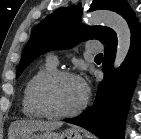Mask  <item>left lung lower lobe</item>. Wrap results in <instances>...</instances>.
Returning a JSON list of instances; mask_svg holds the SVG:
<instances>
[{
	"instance_id": "1",
	"label": "left lung lower lobe",
	"mask_w": 141,
	"mask_h": 139,
	"mask_svg": "<svg viewBox=\"0 0 141 139\" xmlns=\"http://www.w3.org/2000/svg\"><path fill=\"white\" fill-rule=\"evenodd\" d=\"M130 31V49L117 71H114L112 66L117 47L116 36L105 43L102 65L104 79L98 86L92 107L76 118L64 120L83 126L101 139L124 138V123L141 69V29L138 20L130 26Z\"/></svg>"
}]
</instances>
